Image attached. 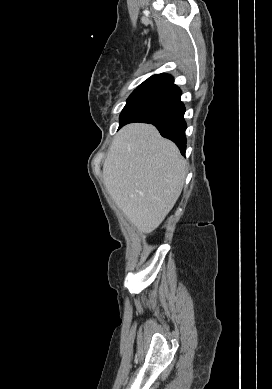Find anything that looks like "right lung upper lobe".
I'll return each mask as SVG.
<instances>
[{"label":"right lung upper lobe","instance_id":"1","mask_svg":"<svg viewBox=\"0 0 272 389\" xmlns=\"http://www.w3.org/2000/svg\"><path fill=\"white\" fill-rule=\"evenodd\" d=\"M174 82V79L172 76L169 74H158V75H153L149 77L147 80H145L142 84H153V85H158L160 87H165L167 85H170Z\"/></svg>","mask_w":272,"mask_h":389}]
</instances>
